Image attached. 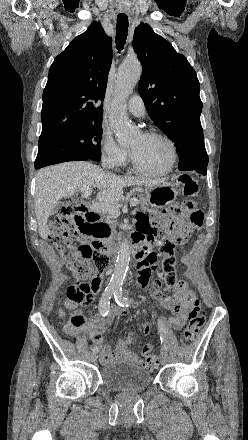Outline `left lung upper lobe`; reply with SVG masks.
<instances>
[{
    "label": "left lung upper lobe",
    "instance_id": "left-lung-upper-lobe-1",
    "mask_svg": "<svg viewBox=\"0 0 248 440\" xmlns=\"http://www.w3.org/2000/svg\"><path fill=\"white\" fill-rule=\"evenodd\" d=\"M133 47L142 64L138 90L154 123L174 141L179 169L208 165L200 122L199 81L187 59L141 23Z\"/></svg>",
    "mask_w": 248,
    "mask_h": 440
}]
</instances>
